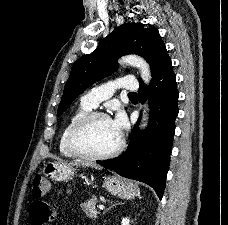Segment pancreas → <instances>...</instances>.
<instances>
[{
    "label": "pancreas",
    "instance_id": "pancreas-1",
    "mask_svg": "<svg viewBox=\"0 0 228 225\" xmlns=\"http://www.w3.org/2000/svg\"><path fill=\"white\" fill-rule=\"evenodd\" d=\"M96 203V197H92V199H89L87 203H82V205H80L82 211L86 213V217H90V219H97V215H100L99 211L96 209Z\"/></svg>",
    "mask_w": 228,
    "mask_h": 225
}]
</instances>
